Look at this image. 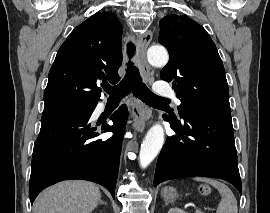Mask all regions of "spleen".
I'll return each instance as SVG.
<instances>
[{"label": "spleen", "instance_id": "1", "mask_svg": "<svg viewBox=\"0 0 270 213\" xmlns=\"http://www.w3.org/2000/svg\"><path fill=\"white\" fill-rule=\"evenodd\" d=\"M194 180L207 182L219 191L222 199L218 204L216 213H238L237 200L232 191L225 184L217 180L204 177H196Z\"/></svg>", "mask_w": 270, "mask_h": 213}]
</instances>
